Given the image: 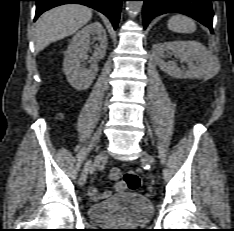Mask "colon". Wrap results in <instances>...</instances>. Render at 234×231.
I'll return each instance as SVG.
<instances>
[{
  "label": "colon",
  "mask_w": 234,
  "mask_h": 231,
  "mask_svg": "<svg viewBox=\"0 0 234 231\" xmlns=\"http://www.w3.org/2000/svg\"><path fill=\"white\" fill-rule=\"evenodd\" d=\"M112 180H118L122 178L126 185V188L130 191H136L140 187V177L134 170H127L123 174L118 169H113L110 173Z\"/></svg>",
  "instance_id": "colon-1"
}]
</instances>
